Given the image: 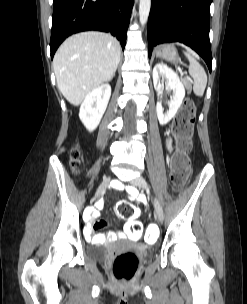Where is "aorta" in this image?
<instances>
[{
	"instance_id": "1",
	"label": "aorta",
	"mask_w": 247,
	"mask_h": 304,
	"mask_svg": "<svg viewBox=\"0 0 247 304\" xmlns=\"http://www.w3.org/2000/svg\"><path fill=\"white\" fill-rule=\"evenodd\" d=\"M150 7H151V0H140L139 20L142 26H144L148 20Z\"/></svg>"
}]
</instances>
